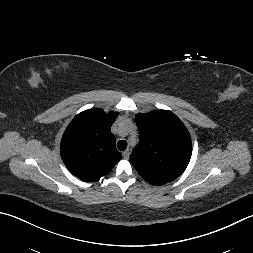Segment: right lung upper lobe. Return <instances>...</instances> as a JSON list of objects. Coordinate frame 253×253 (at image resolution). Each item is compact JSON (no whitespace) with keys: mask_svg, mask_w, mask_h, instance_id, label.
<instances>
[{"mask_svg":"<svg viewBox=\"0 0 253 253\" xmlns=\"http://www.w3.org/2000/svg\"><path fill=\"white\" fill-rule=\"evenodd\" d=\"M118 113L90 109L76 115L61 140V157L68 170L90 182L107 175L121 159L110 131Z\"/></svg>","mask_w":253,"mask_h":253,"instance_id":"1","label":"right lung upper lobe"}]
</instances>
